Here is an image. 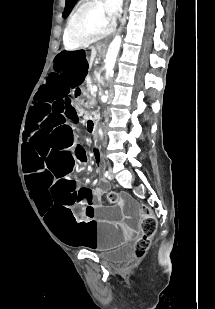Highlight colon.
<instances>
[{
    "mask_svg": "<svg viewBox=\"0 0 215 309\" xmlns=\"http://www.w3.org/2000/svg\"><path fill=\"white\" fill-rule=\"evenodd\" d=\"M118 195L115 192L108 193V201L109 204L115 205L117 203ZM142 221H141V229L143 235L135 241L133 249L134 254L136 255H144L149 248L150 238L156 231V220L154 216L151 214L149 208H145L141 213Z\"/></svg>",
    "mask_w": 215,
    "mask_h": 309,
    "instance_id": "1",
    "label": "colon"
}]
</instances>
